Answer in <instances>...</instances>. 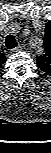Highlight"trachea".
<instances>
[{"label": "trachea", "mask_w": 51, "mask_h": 153, "mask_svg": "<svg viewBox=\"0 0 51 153\" xmlns=\"http://www.w3.org/2000/svg\"><path fill=\"white\" fill-rule=\"evenodd\" d=\"M5 46L7 49H13L17 46V40L15 36L13 35H8L5 39Z\"/></svg>", "instance_id": "1"}]
</instances>
